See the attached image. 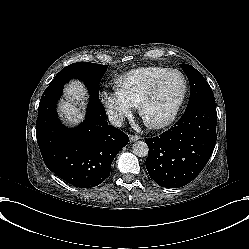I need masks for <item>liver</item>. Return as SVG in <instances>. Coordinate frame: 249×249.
Segmentation results:
<instances>
[{"mask_svg": "<svg viewBox=\"0 0 249 249\" xmlns=\"http://www.w3.org/2000/svg\"><path fill=\"white\" fill-rule=\"evenodd\" d=\"M88 90L82 82L72 80L64 86V99L58 103V113L64 123L77 126L85 118V106L88 102Z\"/></svg>", "mask_w": 249, "mask_h": 249, "instance_id": "liver-1", "label": "liver"}]
</instances>
